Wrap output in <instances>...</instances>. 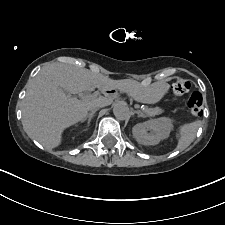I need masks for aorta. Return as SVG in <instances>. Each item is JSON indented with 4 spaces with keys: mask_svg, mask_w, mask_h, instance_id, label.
<instances>
[{
    "mask_svg": "<svg viewBox=\"0 0 225 225\" xmlns=\"http://www.w3.org/2000/svg\"><path fill=\"white\" fill-rule=\"evenodd\" d=\"M113 113L118 120H127L130 118V109L124 102L115 103Z\"/></svg>",
    "mask_w": 225,
    "mask_h": 225,
    "instance_id": "obj_1",
    "label": "aorta"
}]
</instances>
